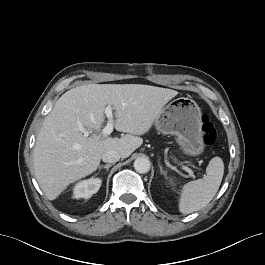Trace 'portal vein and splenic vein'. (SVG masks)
<instances>
[{"instance_id":"1","label":"portal vein and splenic vein","mask_w":265,"mask_h":265,"mask_svg":"<svg viewBox=\"0 0 265 265\" xmlns=\"http://www.w3.org/2000/svg\"><path fill=\"white\" fill-rule=\"evenodd\" d=\"M105 114L108 118V122L106 124V126L103 128L102 130V134L104 137H107L108 135H110L113 131V128H114V122H113V113H112V107L111 106H107L105 108ZM80 130L83 132V133H86L88 134L84 128H80ZM183 169L188 172L189 176L190 177H195L194 175V172L188 168L187 166H183Z\"/></svg>"}]
</instances>
